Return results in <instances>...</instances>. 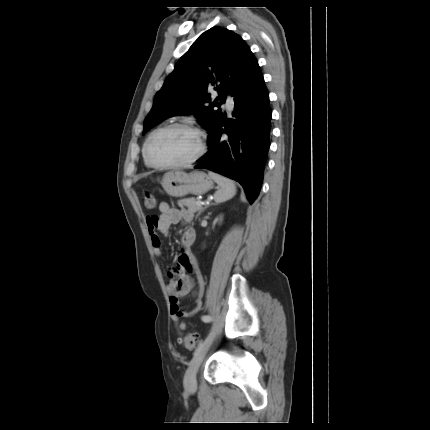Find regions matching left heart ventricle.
Instances as JSON below:
<instances>
[{
    "label": "left heart ventricle",
    "instance_id": "b2bd125f",
    "mask_svg": "<svg viewBox=\"0 0 430 430\" xmlns=\"http://www.w3.org/2000/svg\"><path fill=\"white\" fill-rule=\"evenodd\" d=\"M199 138L196 133L174 128L159 134L151 143L150 155L160 164H171L185 161L196 154Z\"/></svg>",
    "mask_w": 430,
    "mask_h": 430
}]
</instances>
